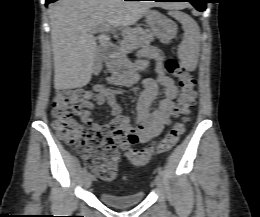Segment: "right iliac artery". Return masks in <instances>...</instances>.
<instances>
[{
  "mask_svg": "<svg viewBox=\"0 0 260 217\" xmlns=\"http://www.w3.org/2000/svg\"><path fill=\"white\" fill-rule=\"evenodd\" d=\"M83 174L84 175L87 174V169L86 168L83 169Z\"/></svg>",
  "mask_w": 260,
  "mask_h": 217,
  "instance_id": "right-iliac-artery-1",
  "label": "right iliac artery"
}]
</instances>
